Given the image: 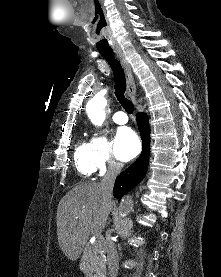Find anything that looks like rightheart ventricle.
<instances>
[{
    "label": "right heart ventricle",
    "mask_w": 221,
    "mask_h": 277,
    "mask_svg": "<svg viewBox=\"0 0 221 277\" xmlns=\"http://www.w3.org/2000/svg\"><path fill=\"white\" fill-rule=\"evenodd\" d=\"M74 163L81 176L88 178L94 173L90 142L81 141L78 143L74 151Z\"/></svg>",
    "instance_id": "e07e8e85"
}]
</instances>
